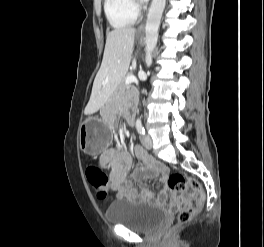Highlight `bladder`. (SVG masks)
<instances>
[{"label": "bladder", "mask_w": 264, "mask_h": 247, "mask_svg": "<svg viewBox=\"0 0 264 247\" xmlns=\"http://www.w3.org/2000/svg\"><path fill=\"white\" fill-rule=\"evenodd\" d=\"M111 224H121L134 231L150 233L167 220L164 209L146 202L121 199L113 201L106 212Z\"/></svg>", "instance_id": "bladder-1"}]
</instances>
